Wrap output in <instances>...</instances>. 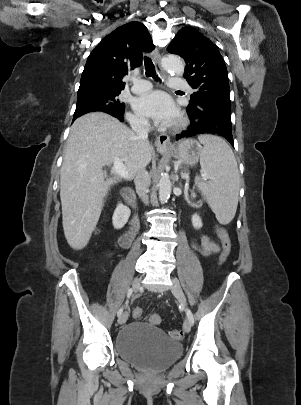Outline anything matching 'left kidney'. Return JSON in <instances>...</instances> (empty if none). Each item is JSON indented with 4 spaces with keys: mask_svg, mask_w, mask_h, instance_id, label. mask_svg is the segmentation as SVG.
Instances as JSON below:
<instances>
[{
    "mask_svg": "<svg viewBox=\"0 0 301 405\" xmlns=\"http://www.w3.org/2000/svg\"><path fill=\"white\" fill-rule=\"evenodd\" d=\"M191 221H192L193 227L196 228V229L201 228L202 225H203L202 220H201V218H200V216L198 214H193L192 218H191Z\"/></svg>",
    "mask_w": 301,
    "mask_h": 405,
    "instance_id": "5707ae66",
    "label": "left kidney"
}]
</instances>
